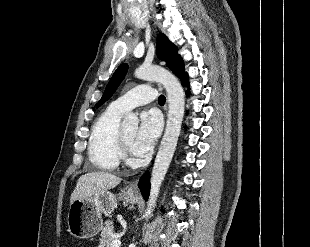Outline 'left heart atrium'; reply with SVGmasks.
I'll return each instance as SVG.
<instances>
[{
	"mask_svg": "<svg viewBox=\"0 0 310 247\" xmlns=\"http://www.w3.org/2000/svg\"><path fill=\"white\" fill-rule=\"evenodd\" d=\"M161 132L159 116L153 112L141 115L140 124L132 142V150L137 156L146 155L155 145Z\"/></svg>",
	"mask_w": 310,
	"mask_h": 247,
	"instance_id": "left-heart-atrium-1",
	"label": "left heart atrium"
}]
</instances>
